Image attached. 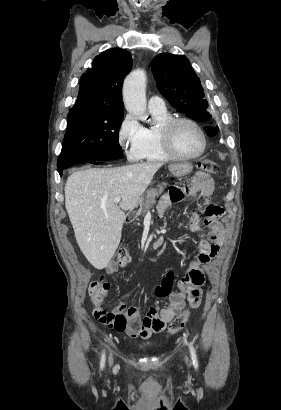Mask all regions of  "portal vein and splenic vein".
Wrapping results in <instances>:
<instances>
[{
    "instance_id": "18ae733b",
    "label": "portal vein and splenic vein",
    "mask_w": 281,
    "mask_h": 410,
    "mask_svg": "<svg viewBox=\"0 0 281 410\" xmlns=\"http://www.w3.org/2000/svg\"><path fill=\"white\" fill-rule=\"evenodd\" d=\"M121 201V197L120 196H117L115 199H114V202L115 203H119Z\"/></svg>"
}]
</instances>
